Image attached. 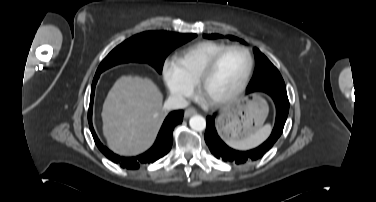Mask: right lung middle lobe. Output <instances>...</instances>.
Masks as SVG:
<instances>
[{
  "label": "right lung middle lobe",
  "mask_w": 376,
  "mask_h": 202,
  "mask_svg": "<svg viewBox=\"0 0 376 202\" xmlns=\"http://www.w3.org/2000/svg\"><path fill=\"white\" fill-rule=\"evenodd\" d=\"M196 34H181L168 31H148L137 34L114 48L99 65L95 77L106 69L125 62H146L159 73L165 58L176 47L195 38Z\"/></svg>",
  "instance_id": "obj_1"
}]
</instances>
